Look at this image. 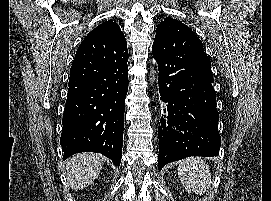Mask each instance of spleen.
I'll return each instance as SVG.
<instances>
[{
  "mask_svg": "<svg viewBox=\"0 0 271 201\" xmlns=\"http://www.w3.org/2000/svg\"><path fill=\"white\" fill-rule=\"evenodd\" d=\"M178 175L188 193L200 196L212 183L209 166L200 157H188L180 161Z\"/></svg>",
  "mask_w": 271,
  "mask_h": 201,
  "instance_id": "obj_1",
  "label": "spleen"
}]
</instances>
